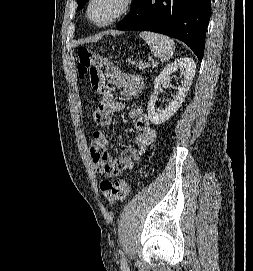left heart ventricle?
Segmentation results:
<instances>
[{"instance_id":"obj_1","label":"left heart ventricle","mask_w":253,"mask_h":271,"mask_svg":"<svg viewBox=\"0 0 253 271\" xmlns=\"http://www.w3.org/2000/svg\"><path fill=\"white\" fill-rule=\"evenodd\" d=\"M123 0H95L91 8L94 21L103 23L113 17L121 8Z\"/></svg>"}]
</instances>
